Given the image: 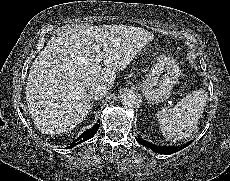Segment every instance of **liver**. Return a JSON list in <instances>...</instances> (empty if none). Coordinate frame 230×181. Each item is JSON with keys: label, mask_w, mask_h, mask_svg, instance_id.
I'll use <instances>...</instances> for the list:
<instances>
[{"label": "liver", "mask_w": 230, "mask_h": 181, "mask_svg": "<svg viewBox=\"0 0 230 181\" xmlns=\"http://www.w3.org/2000/svg\"><path fill=\"white\" fill-rule=\"evenodd\" d=\"M153 38L141 28L117 25H81L58 33L37 56L26 83L34 124L45 133L72 130L90 112L89 90L110 89L115 73L126 69L137 49ZM101 52L104 68L95 62Z\"/></svg>", "instance_id": "obj_1"}]
</instances>
